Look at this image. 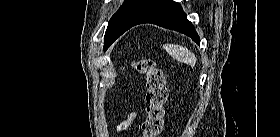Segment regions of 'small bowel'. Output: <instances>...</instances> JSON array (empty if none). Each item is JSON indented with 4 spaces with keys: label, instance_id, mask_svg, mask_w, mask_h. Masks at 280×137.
<instances>
[{
    "label": "small bowel",
    "instance_id": "c3829d8e",
    "mask_svg": "<svg viewBox=\"0 0 280 137\" xmlns=\"http://www.w3.org/2000/svg\"><path fill=\"white\" fill-rule=\"evenodd\" d=\"M136 118L137 114L135 112H131L122 123L131 126L136 121Z\"/></svg>",
    "mask_w": 280,
    "mask_h": 137
}]
</instances>
